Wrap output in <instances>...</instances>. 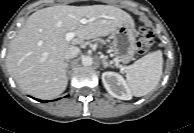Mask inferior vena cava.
I'll return each mask as SVG.
<instances>
[{
	"mask_svg": "<svg viewBox=\"0 0 194 133\" xmlns=\"http://www.w3.org/2000/svg\"><path fill=\"white\" fill-rule=\"evenodd\" d=\"M80 52V49L78 47H70L64 54V59L68 60V59H72L75 58L78 53Z\"/></svg>",
	"mask_w": 194,
	"mask_h": 133,
	"instance_id": "inferior-vena-cava-1",
	"label": "inferior vena cava"
}]
</instances>
